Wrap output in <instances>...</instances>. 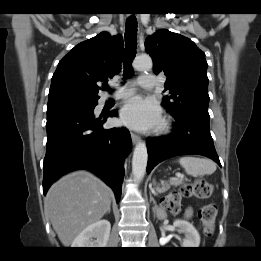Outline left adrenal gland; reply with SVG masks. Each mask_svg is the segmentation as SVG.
<instances>
[{"instance_id": "a2214340", "label": "left adrenal gland", "mask_w": 261, "mask_h": 261, "mask_svg": "<svg viewBox=\"0 0 261 261\" xmlns=\"http://www.w3.org/2000/svg\"><path fill=\"white\" fill-rule=\"evenodd\" d=\"M150 201H152L153 202V204L155 205L154 207H153V211L155 212V210H156V207H157V204H156V201L154 200V198H153V196H152V194L150 193Z\"/></svg>"}]
</instances>
